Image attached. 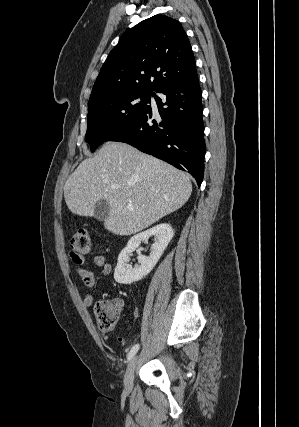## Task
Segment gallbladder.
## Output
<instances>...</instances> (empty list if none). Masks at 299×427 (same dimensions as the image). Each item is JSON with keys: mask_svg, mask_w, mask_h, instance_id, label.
I'll list each match as a JSON object with an SVG mask.
<instances>
[{"mask_svg": "<svg viewBox=\"0 0 299 427\" xmlns=\"http://www.w3.org/2000/svg\"><path fill=\"white\" fill-rule=\"evenodd\" d=\"M109 211H110V206L107 200H104V199L99 200L95 204L94 217L97 220L102 221L109 215Z\"/></svg>", "mask_w": 299, "mask_h": 427, "instance_id": "bac80fb5", "label": "gallbladder"}]
</instances>
